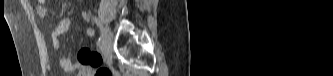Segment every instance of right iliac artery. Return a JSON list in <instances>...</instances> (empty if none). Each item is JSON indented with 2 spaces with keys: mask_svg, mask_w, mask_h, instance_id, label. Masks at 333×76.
<instances>
[{
  "mask_svg": "<svg viewBox=\"0 0 333 76\" xmlns=\"http://www.w3.org/2000/svg\"><path fill=\"white\" fill-rule=\"evenodd\" d=\"M94 20H95V22L97 23V25H99V23H98L96 17L94 18ZM97 46H98L99 48H102V46H103V38H102V36L98 39V41H97Z\"/></svg>",
  "mask_w": 333,
  "mask_h": 76,
  "instance_id": "obj_1",
  "label": "right iliac artery"
}]
</instances>
